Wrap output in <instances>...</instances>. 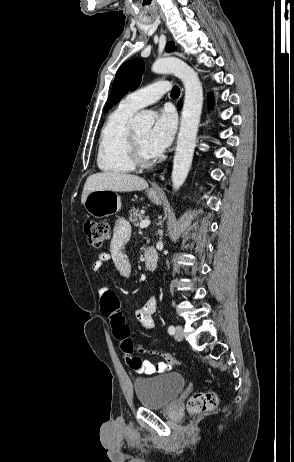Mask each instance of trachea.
I'll return each mask as SVG.
<instances>
[{
    "mask_svg": "<svg viewBox=\"0 0 294 462\" xmlns=\"http://www.w3.org/2000/svg\"><path fill=\"white\" fill-rule=\"evenodd\" d=\"M180 94V89L178 86H174L172 91H171V96L172 97H177Z\"/></svg>",
    "mask_w": 294,
    "mask_h": 462,
    "instance_id": "3493384b",
    "label": "trachea"
}]
</instances>
